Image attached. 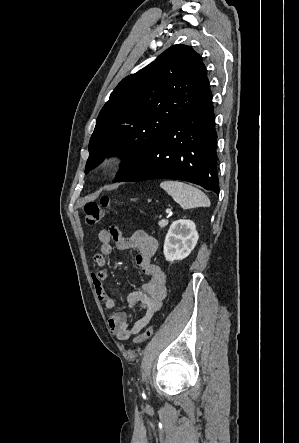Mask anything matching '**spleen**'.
<instances>
[{"instance_id":"spleen-1","label":"spleen","mask_w":299,"mask_h":443,"mask_svg":"<svg viewBox=\"0 0 299 443\" xmlns=\"http://www.w3.org/2000/svg\"><path fill=\"white\" fill-rule=\"evenodd\" d=\"M160 187L184 209L210 207L209 198L198 188L179 181H163Z\"/></svg>"}]
</instances>
